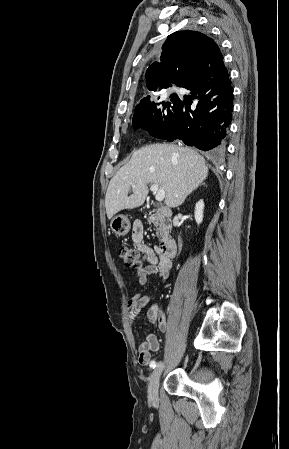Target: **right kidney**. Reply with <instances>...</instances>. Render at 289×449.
Here are the masks:
<instances>
[{
	"label": "right kidney",
	"mask_w": 289,
	"mask_h": 449,
	"mask_svg": "<svg viewBox=\"0 0 289 449\" xmlns=\"http://www.w3.org/2000/svg\"><path fill=\"white\" fill-rule=\"evenodd\" d=\"M203 210H204V202L203 200H200L196 203L195 206V220L197 222V224H201L203 221Z\"/></svg>",
	"instance_id": "ca27d5eb"
}]
</instances>
